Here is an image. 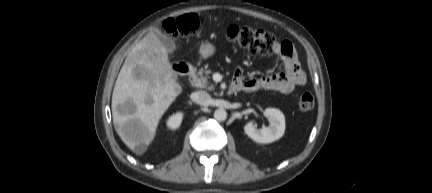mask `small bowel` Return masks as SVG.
Segmentation results:
<instances>
[{"label": "small bowel", "instance_id": "obj_1", "mask_svg": "<svg viewBox=\"0 0 432 193\" xmlns=\"http://www.w3.org/2000/svg\"><path fill=\"white\" fill-rule=\"evenodd\" d=\"M280 45H287L289 52H282ZM277 61L283 65L284 72L267 75L261 78L243 79L242 69L237 68L234 83L239 90L257 91L260 89L278 91L283 94H291L298 86L307 82V75L301 68L296 53L290 42L277 43L275 51Z\"/></svg>", "mask_w": 432, "mask_h": 193}]
</instances>
